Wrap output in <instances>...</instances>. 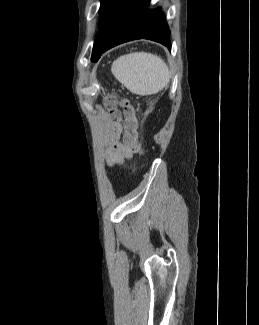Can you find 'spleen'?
<instances>
[{
	"instance_id": "3e777b00",
	"label": "spleen",
	"mask_w": 259,
	"mask_h": 325,
	"mask_svg": "<svg viewBox=\"0 0 259 325\" xmlns=\"http://www.w3.org/2000/svg\"><path fill=\"white\" fill-rule=\"evenodd\" d=\"M111 71L130 92L145 96L156 94L169 82V69L164 60L152 53L134 52L117 58Z\"/></svg>"
}]
</instances>
